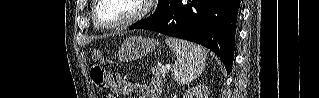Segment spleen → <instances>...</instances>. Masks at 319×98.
Wrapping results in <instances>:
<instances>
[{"mask_svg":"<svg viewBox=\"0 0 319 98\" xmlns=\"http://www.w3.org/2000/svg\"><path fill=\"white\" fill-rule=\"evenodd\" d=\"M166 43L177 57L174 65L173 78L179 84H188L200 76L205 67L206 53L194 43L166 38Z\"/></svg>","mask_w":319,"mask_h":98,"instance_id":"3e777b00","label":"spleen"}]
</instances>
